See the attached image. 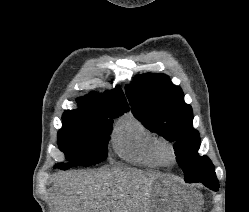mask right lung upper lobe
<instances>
[{"mask_svg": "<svg viewBox=\"0 0 249 212\" xmlns=\"http://www.w3.org/2000/svg\"><path fill=\"white\" fill-rule=\"evenodd\" d=\"M77 101L80 108L129 111L128 103L119 86L104 94L92 91L87 96L77 99Z\"/></svg>", "mask_w": 249, "mask_h": 212, "instance_id": "right-lung-upper-lobe-1", "label": "right lung upper lobe"}]
</instances>
